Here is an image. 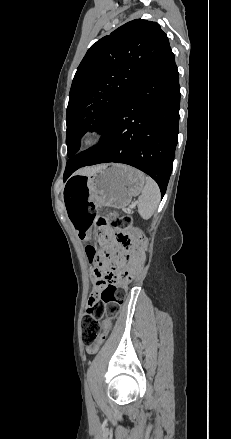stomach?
I'll use <instances>...</instances> for the list:
<instances>
[{"label": "stomach", "mask_w": 231, "mask_h": 439, "mask_svg": "<svg viewBox=\"0 0 231 439\" xmlns=\"http://www.w3.org/2000/svg\"><path fill=\"white\" fill-rule=\"evenodd\" d=\"M83 177L90 200L99 207L124 208L142 192L145 184L141 171L122 164H107Z\"/></svg>", "instance_id": "obj_1"}]
</instances>
